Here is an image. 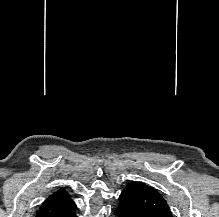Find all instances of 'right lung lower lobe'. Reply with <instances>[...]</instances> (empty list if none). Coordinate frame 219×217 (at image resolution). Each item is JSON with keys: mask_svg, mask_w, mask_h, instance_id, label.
Wrapping results in <instances>:
<instances>
[{"mask_svg": "<svg viewBox=\"0 0 219 217\" xmlns=\"http://www.w3.org/2000/svg\"><path fill=\"white\" fill-rule=\"evenodd\" d=\"M59 217H76V215H75V211L73 209L69 212L64 213L63 215H60Z\"/></svg>", "mask_w": 219, "mask_h": 217, "instance_id": "98d812e1", "label": "right lung lower lobe"}]
</instances>
